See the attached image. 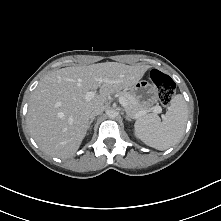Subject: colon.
<instances>
[{"mask_svg": "<svg viewBox=\"0 0 221 221\" xmlns=\"http://www.w3.org/2000/svg\"><path fill=\"white\" fill-rule=\"evenodd\" d=\"M151 81L158 88V96L163 106H168L175 94L176 85L172 78L158 69L150 72Z\"/></svg>", "mask_w": 221, "mask_h": 221, "instance_id": "obj_1", "label": "colon"}]
</instances>
